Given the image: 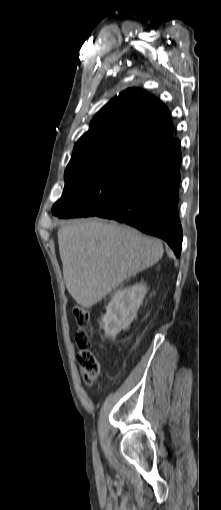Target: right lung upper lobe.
Segmentation results:
<instances>
[{
	"mask_svg": "<svg viewBox=\"0 0 221 510\" xmlns=\"http://www.w3.org/2000/svg\"><path fill=\"white\" fill-rule=\"evenodd\" d=\"M174 139L168 108L143 90L127 89L95 115L71 160L124 147L153 151Z\"/></svg>",
	"mask_w": 221,
	"mask_h": 510,
	"instance_id": "right-lung-upper-lobe-1",
	"label": "right lung upper lobe"
}]
</instances>
